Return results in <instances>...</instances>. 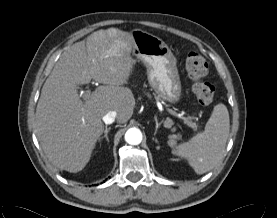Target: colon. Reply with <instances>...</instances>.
<instances>
[{
  "label": "colon",
  "mask_w": 277,
  "mask_h": 218,
  "mask_svg": "<svg viewBox=\"0 0 277 218\" xmlns=\"http://www.w3.org/2000/svg\"><path fill=\"white\" fill-rule=\"evenodd\" d=\"M185 68L192 80V90L198 102L202 105L210 104L214 99L215 87L207 80L206 59L200 53L191 51L186 57Z\"/></svg>",
  "instance_id": "colon-1"
}]
</instances>
